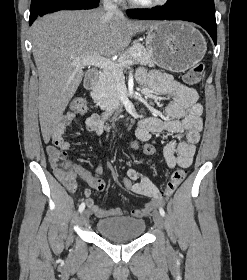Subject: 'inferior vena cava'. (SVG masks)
<instances>
[{
    "mask_svg": "<svg viewBox=\"0 0 247 280\" xmlns=\"http://www.w3.org/2000/svg\"><path fill=\"white\" fill-rule=\"evenodd\" d=\"M103 8L110 15H122L121 11L117 8V5L111 0H104Z\"/></svg>",
    "mask_w": 247,
    "mask_h": 280,
    "instance_id": "602c4592",
    "label": "inferior vena cava"
}]
</instances>
